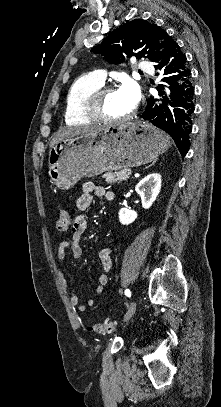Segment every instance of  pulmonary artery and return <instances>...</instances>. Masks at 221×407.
Segmentation results:
<instances>
[{"mask_svg":"<svg viewBox=\"0 0 221 407\" xmlns=\"http://www.w3.org/2000/svg\"><path fill=\"white\" fill-rule=\"evenodd\" d=\"M138 69H139L140 73L152 71L151 66L146 62H140L138 64ZM90 76H92L100 84L105 83L106 73L102 70H99V69L94 70V71L90 72Z\"/></svg>","mask_w":221,"mask_h":407,"instance_id":"pulmonary-artery-1","label":"pulmonary artery"}]
</instances>
